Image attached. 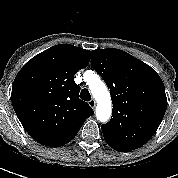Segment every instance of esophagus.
I'll use <instances>...</instances> for the list:
<instances>
[{"mask_svg": "<svg viewBox=\"0 0 178 178\" xmlns=\"http://www.w3.org/2000/svg\"><path fill=\"white\" fill-rule=\"evenodd\" d=\"M89 106H90L92 109H94V108L96 107V101H95V99H91V100L89 101Z\"/></svg>", "mask_w": 178, "mask_h": 178, "instance_id": "obj_1", "label": "esophagus"}]
</instances>
